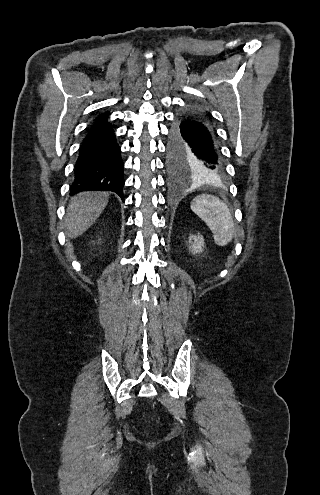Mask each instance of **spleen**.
<instances>
[{
    "instance_id": "spleen-1",
    "label": "spleen",
    "mask_w": 320,
    "mask_h": 495,
    "mask_svg": "<svg viewBox=\"0 0 320 495\" xmlns=\"http://www.w3.org/2000/svg\"><path fill=\"white\" fill-rule=\"evenodd\" d=\"M191 209L210 228L216 245L226 246L232 240L233 217L222 200L214 195L202 194L193 199Z\"/></svg>"
}]
</instances>
